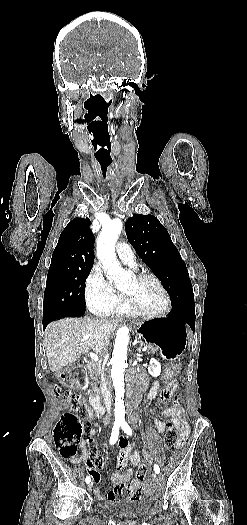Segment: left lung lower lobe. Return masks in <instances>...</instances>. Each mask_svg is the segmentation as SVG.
<instances>
[{"label":"left lung lower lobe","mask_w":247,"mask_h":525,"mask_svg":"<svg viewBox=\"0 0 247 525\" xmlns=\"http://www.w3.org/2000/svg\"><path fill=\"white\" fill-rule=\"evenodd\" d=\"M176 322L188 323L192 329L195 327V304L185 303L174 306L173 310L169 313V318Z\"/></svg>","instance_id":"left-lung-lower-lobe-1"}]
</instances>
